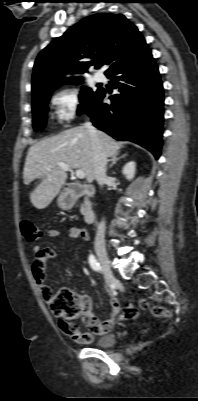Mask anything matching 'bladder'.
<instances>
[{"instance_id":"obj_1","label":"bladder","mask_w":198,"mask_h":401,"mask_svg":"<svg viewBox=\"0 0 198 401\" xmlns=\"http://www.w3.org/2000/svg\"><path fill=\"white\" fill-rule=\"evenodd\" d=\"M116 338L113 334L104 333L98 336L95 345L100 348H109L114 346Z\"/></svg>"}]
</instances>
